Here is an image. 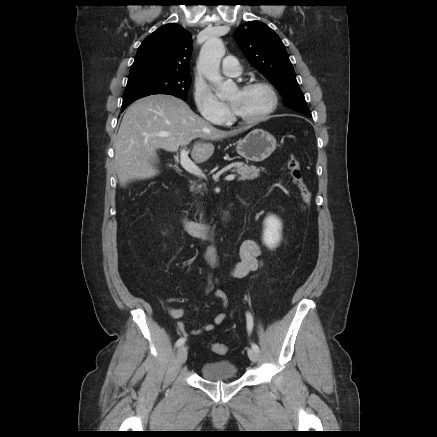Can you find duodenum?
Instances as JSON below:
<instances>
[{"label": "duodenum", "instance_id": "obj_1", "mask_svg": "<svg viewBox=\"0 0 437 437\" xmlns=\"http://www.w3.org/2000/svg\"><path fill=\"white\" fill-rule=\"evenodd\" d=\"M224 221L228 220V215H224ZM180 221L183 227L193 236L206 237L211 233V227L207 224L189 219L184 214H181Z\"/></svg>", "mask_w": 437, "mask_h": 437}]
</instances>
